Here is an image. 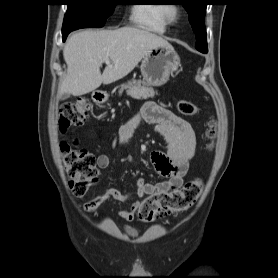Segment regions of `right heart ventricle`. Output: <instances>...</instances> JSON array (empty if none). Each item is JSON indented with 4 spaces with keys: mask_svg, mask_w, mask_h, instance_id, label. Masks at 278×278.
<instances>
[{
    "mask_svg": "<svg viewBox=\"0 0 278 278\" xmlns=\"http://www.w3.org/2000/svg\"><path fill=\"white\" fill-rule=\"evenodd\" d=\"M162 9L160 4H137L132 7L131 20L146 30L165 33L168 23L163 18Z\"/></svg>",
    "mask_w": 278,
    "mask_h": 278,
    "instance_id": "e07e8e85",
    "label": "right heart ventricle"
}]
</instances>
